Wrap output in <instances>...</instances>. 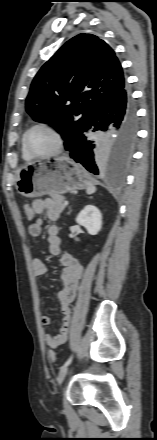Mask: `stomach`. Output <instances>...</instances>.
I'll return each mask as SVG.
<instances>
[{
    "label": "stomach",
    "instance_id": "0dacf381",
    "mask_svg": "<svg viewBox=\"0 0 157 440\" xmlns=\"http://www.w3.org/2000/svg\"><path fill=\"white\" fill-rule=\"evenodd\" d=\"M88 174L68 157L40 159L27 163L18 173L16 189L27 198L60 195L87 187Z\"/></svg>",
    "mask_w": 157,
    "mask_h": 440
}]
</instances>
